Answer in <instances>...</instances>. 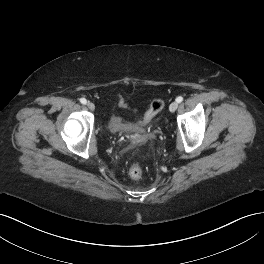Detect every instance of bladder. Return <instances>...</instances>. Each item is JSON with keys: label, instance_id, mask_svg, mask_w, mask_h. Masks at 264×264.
<instances>
[{"label": "bladder", "instance_id": "bladder-1", "mask_svg": "<svg viewBox=\"0 0 264 264\" xmlns=\"http://www.w3.org/2000/svg\"><path fill=\"white\" fill-rule=\"evenodd\" d=\"M108 129L112 133H122L131 131L132 126L130 123L123 121L121 118L113 114L109 118Z\"/></svg>", "mask_w": 264, "mask_h": 264}]
</instances>
